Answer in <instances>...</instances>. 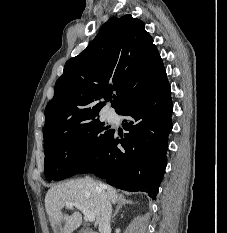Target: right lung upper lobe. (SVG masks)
<instances>
[{
    "label": "right lung upper lobe",
    "instance_id": "1",
    "mask_svg": "<svg viewBox=\"0 0 227 233\" xmlns=\"http://www.w3.org/2000/svg\"><path fill=\"white\" fill-rule=\"evenodd\" d=\"M167 79L162 59L141 20L109 19L78 56L69 59L45 109L44 145L93 121L113 93L119 113Z\"/></svg>",
    "mask_w": 227,
    "mask_h": 233
}]
</instances>
